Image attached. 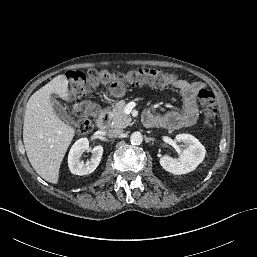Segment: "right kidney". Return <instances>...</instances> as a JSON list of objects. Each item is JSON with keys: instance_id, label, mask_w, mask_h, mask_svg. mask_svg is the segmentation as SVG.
<instances>
[{"instance_id": "obj_1", "label": "right kidney", "mask_w": 257, "mask_h": 257, "mask_svg": "<svg viewBox=\"0 0 257 257\" xmlns=\"http://www.w3.org/2000/svg\"><path fill=\"white\" fill-rule=\"evenodd\" d=\"M89 149V141L87 138L77 140L70 149L68 154V166L71 173L75 175H87L95 171L98 167L102 154L103 147L97 145L91 149V159L85 163L81 161L82 154Z\"/></svg>"}]
</instances>
